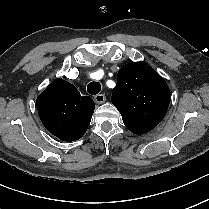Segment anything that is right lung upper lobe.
Masks as SVG:
<instances>
[{
    "label": "right lung upper lobe",
    "mask_w": 209,
    "mask_h": 209,
    "mask_svg": "<svg viewBox=\"0 0 209 209\" xmlns=\"http://www.w3.org/2000/svg\"><path fill=\"white\" fill-rule=\"evenodd\" d=\"M36 106L45 128L60 140L80 139L90 124L95 104L71 83L58 78L39 95Z\"/></svg>",
    "instance_id": "cb5924a9"
}]
</instances>
